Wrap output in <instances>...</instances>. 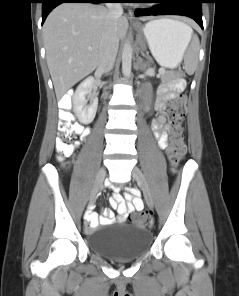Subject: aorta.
<instances>
[{
    "mask_svg": "<svg viewBox=\"0 0 239 296\" xmlns=\"http://www.w3.org/2000/svg\"><path fill=\"white\" fill-rule=\"evenodd\" d=\"M133 49L129 42H126L122 51V72L125 77H130L132 68Z\"/></svg>",
    "mask_w": 239,
    "mask_h": 296,
    "instance_id": "aorta-1",
    "label": "aorta"
}]
</instances>
